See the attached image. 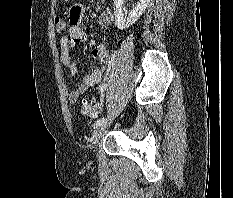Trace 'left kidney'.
I'll use <instances>...</instances> for the list:
<instances>
[{
  "mask_svg": "<svg viewBox=\"0 0 233 198\" xmlns=\"http://www.w3.org/2000/svg\"><path fill=\"white\" fill-rule=\"evenodd\" d=\"M114 1L115 25L118 29L123 30L135 23L147 8L150 0H139L131 11H127L123 6L125 0Z\"/></svg>",
  "mask_w": 233,
  "mask_h": 198,
  "instance_id": "5707ae66",
  "label": "left kidney"
}]
</instances>
